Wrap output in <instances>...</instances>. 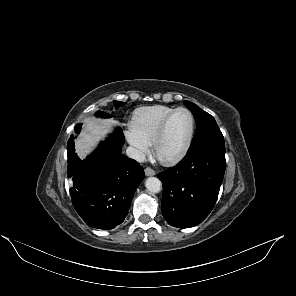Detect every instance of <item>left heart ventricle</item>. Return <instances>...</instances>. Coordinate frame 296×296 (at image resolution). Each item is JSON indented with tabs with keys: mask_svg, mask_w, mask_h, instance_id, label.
<instances>
[{
	"mask_svg": "<svg viewBox=\"0 0 296 296\" xmlns=\"http://www.w3.org/2000/svg\"><path fill=\"white\" fill-rule=\"evenodd\" d=\"M191 129V118L187 112L176 113L169 122L163 139L158 145L157 155L167 160L178 154L186 144Z\"/></svg>",
	"mask_w": 296,
	"mask_h": 296,
	"instance_id": "left-heart-ventricle-1",
	"label": "left heart ventricle"
}]
</instances>
